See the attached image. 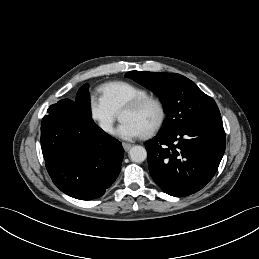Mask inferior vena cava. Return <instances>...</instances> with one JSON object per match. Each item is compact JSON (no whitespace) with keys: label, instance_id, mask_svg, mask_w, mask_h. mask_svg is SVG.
I'll list each match as a JSON object with an SVG mask.
<instances>
[{"label":"inferior vena cava","instance_id":"inferior-vena-cava-1","mask_svg":"<svg viewBox=\"0 0 259 259\" xmlns=\"http://www.w3.org/2000/svg\"><path fill=\"white\" fill-rule=\"evenodd\" d=\"M103 128H104L105 130H108V126H107V125L103 126Z\"/></svg>","mask_w":259,"mask_h":259}]
</instances>
